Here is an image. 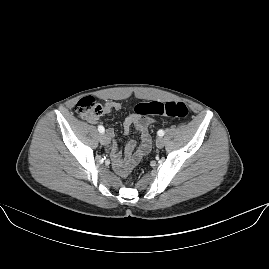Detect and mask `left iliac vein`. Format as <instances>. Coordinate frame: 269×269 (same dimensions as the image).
Listing matches in <instances>:
<instances>
[{"instance_id":"1","label":"left iliac vein","mask_w":269,"mask_h":269,"mask_svg":"<svg viewBox=\"0 0 269 269\" xmlns=\"http://www.w3.org/2000/svg\"><path fill=\"white\" fill-rule=\"evenodd\" d=\"M164 143H165V141L162 137H159L156 141V145L158 148H162L164 146Z\"/></svg>"}]
</instances>
